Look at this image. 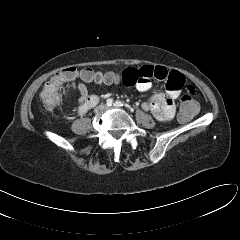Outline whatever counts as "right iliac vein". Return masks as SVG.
<instances>
[{"mask_svg": "<svg viewBox=\"0 0 240 240\" xmlns=\"http://www.w3.org/2000/svg\"><path fill=\"white\" fill-rule=\"evenodd\" d=\"M104 109V106H100L97 110H96V112H99V111H101V110H103Z\"/></svg>", "mask_w": 240, "mask_h": 240, "instance_id": "1", "label": "right iliac vein"}]
</instances>
